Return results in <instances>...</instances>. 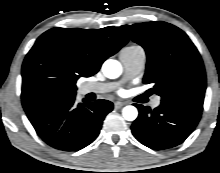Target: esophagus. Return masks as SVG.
I'll return each instance as SVG.
<instances>
[{"label":"esophagus","mask_w":220,"mask_h":173,"mask_svg":"<svg viewBox=\"0 0 220 173\" xmlns=\"http://www.w3.org/2000/svg\"><path fill=\"white\" fill-rule=\"evenodd\" d=\"M125 105V102H122V101H115L114 102V107L116 108V109H120L122 106H124Z\"/></svg>","instance_id":"esophagus-1"}]
</instances>
